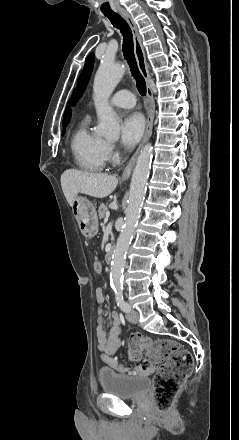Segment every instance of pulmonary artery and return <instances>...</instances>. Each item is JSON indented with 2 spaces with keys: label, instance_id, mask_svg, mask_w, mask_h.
Here are the masks:
<instances>
[{
  "label": "pulmonary artery",
  "instance_id": "e3ab8cb5",
  "mask_svg": "<svg viewBox=\"0 0 239 440\" xmlns=\"http://www.w3.org/2000/svg\"><path fill=\"white\" fill-rule=\"evenodd\" d=\"M135 102L134 94L128 90L118 91L110 99L111 105L122 108H131L135 105Z\"/></svg>",
  "mask_w": 239,
  "mask_h": 440
}]
</instances>
